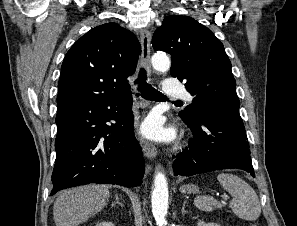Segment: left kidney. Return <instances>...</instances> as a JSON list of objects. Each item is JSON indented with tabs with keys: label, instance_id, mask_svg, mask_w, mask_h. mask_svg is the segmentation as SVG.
<instances>
[{
	"label": "left kidney",
	"instance_id": "obj_1",
	"mask_svg": "<svg viewBox=\"0 0 297 226\" xmlns=\"http://www.w3.org/2000/svg\"><path fill=\"white\" fill-rule=\"evenodd\" d=\"M197 226H220V225L218 223H213V222L205 223L204 221H199L197 223Z\"/></svg>",
	"mask_w": 297,
	"mask_h": 226
}]
</instances>
